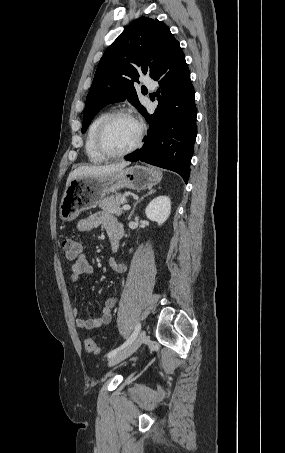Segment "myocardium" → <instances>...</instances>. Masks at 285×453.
I'll return each mask as SVG.
<instances>
[{"mask_svg":"<svg viewBox=\"0 0 285 453\" xmlns=\"http://www.w3.org/2000/svg\"><path fill=\"white\" fill-rule=\"evenodd\" d=\"M118 117H128L135 121L138 125L139 132L135 143L131 147L120 152H114L108 149L105 144V132L109 124ZM145 132H146L145 124L133 112L127 109L115 110L113 112L108 113L99 124L95 135V145L98 152L105 158L113 159L124 157L133 153L142 145L143 139L145 137Z\"/></svg>","mask_w":285,"mask_h":453,"instance_id":"f54148a6","label":"myocardium"}]
</instances>
